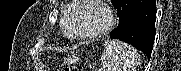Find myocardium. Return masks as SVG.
Returning <instances> with one entry per match:
<instances>
[{"label":"myocardium","instance_id":"f54148a6","mask_svg":"<svg viewBox=\"0 0 181 71\" xmlns=\"http://www.w3.org/2000/svg\"><path fill=\"white\" fill-rule=\"evenodd\" d=\"M76 2L77 8L72 16V20L70 23V28L73 34V38L78 40H94L101 38L102 36L106 35L115 24V14L112 10V8L105 2L101 0H81V1H73ZM88 5H96L99 8H101L106 16H107V22L103 28L100 30L90 33V34H84L78 31V22H79V15L82 11V9Z\"/></svg>","mask_w":181,"mask_h":71}]
</instances>
